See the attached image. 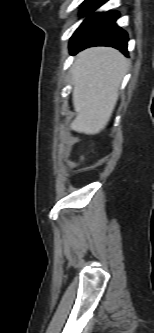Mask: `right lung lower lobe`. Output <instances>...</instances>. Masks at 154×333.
I'll return each instance as SVG.
<instances>
[{
    "instance_id": "obj_1",
    "label": "right lung lower lobe",
    "mask_w": 154,
    "mask_h": 333,
    "mask_svg": "<svg viewBox=\"0 0 154 333\" xmlns=\"http://www.w3.org/2000/svg\"><path fill=\"white\" fill-rule=\"evenodd\" d=\"M118 17L115 11L92 14L70 39V52L75 54L91 46H111L127 55L128 36L115 24Z\"/></svg>"
}]
</instances>
